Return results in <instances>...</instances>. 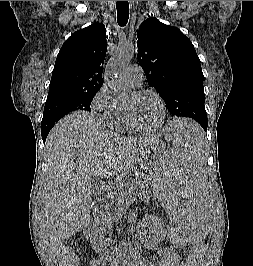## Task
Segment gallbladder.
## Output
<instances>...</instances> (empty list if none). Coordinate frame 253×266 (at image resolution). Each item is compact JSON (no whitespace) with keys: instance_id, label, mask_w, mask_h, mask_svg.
Returning <instances> with one entry per match:
<instances>
[{"instance_id":"bac80fb5","label":"gallbladder","mask_w":253,"mask_h":266,"mask_svg":"<svg viewBox=\"0 0 253 266\" xmlns=\"http://www.w3.org/2000/svg\"><path fill=\"white\" fill-rule=\"evenodd\" d=\"M92 191L95 192V191H96V187H93V190H92ZM89 226H90V224L86 226V229H87Z\"/></svg>"}]
</instances>
